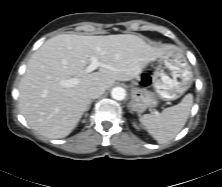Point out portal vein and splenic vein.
I'll use <instances>...</instances> for the list:
<instances>
[{
	"label": "portal vein and splenic vein",
	"instance_id": "portal-vein-and-splenic-vein-1",
	"mask_svg": "<svg viewBox=\"0 0 222 187\" xmlns=\"http://www.w3.org/2000/svg\"><path fill=\"white\" fill-rule=\"evenodd\" d=\"M90 60H91V63L89 64V66L85 70L86 73H90V72L96 70L99 66H101V64L98 62L96 57H91ZM60 84L63 87H72V86L78 84V79L70 78L67 80H62V81H60Z\"/></svg>",
	"mask_w": 222,
	"mask_h": 187
}]
</instances>
